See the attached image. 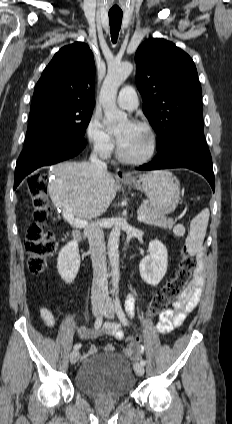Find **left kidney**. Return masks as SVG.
Returning a JSON list of instances; mask_svg holds the SVG:
<instances>
[{"label": "left kidney", "instance_id": "5707ae66", "mask_svg": "<svg viewBox=\"0 0 232 424\" xmlns=\"http://www.w3.org/2000/svg\"><path fill=\"white\" fill-rule=\"evenodd\" d=\"M168 266V252L166 247L158 240L149 243V254L139 265L142 279L149 285L156 286L165 276Z\"/></svg>", "mask_w": 232, "mask_h": 424}]
</instances>
